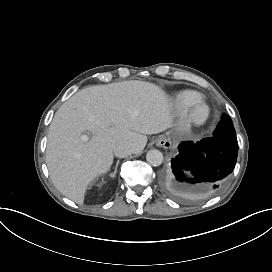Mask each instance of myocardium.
<instances>
[{"label":"myocardium","mask_w":272,"mask_h":272,"mask_svg":"<svg viewBox=\"0 0 272 272\" xmlns=\"http://www.w3.org/2000/svg\"><path fill=\"white\" fill-rule=\"evenodd\" d=\"M205 100L201 95H197L195 98L190 99L186 102H184L181 105V120L184 122L188 127L190 128H201L204 127L211 119H212V110L210 106L207 107V116L203 121H195L190 116V109L198 104V103H204Z\"/></svg>","instance_id":"myocardium-1"}]
</instances>
